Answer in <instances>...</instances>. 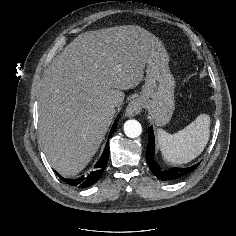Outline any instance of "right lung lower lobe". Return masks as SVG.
Instances as JSON below:
<instances>
[{
	"mask_svg": "<svg viewBox=\"0 0 236 236\" xmlns=\"http://www.w3.org/2000/svg\"><path fill=\"white\" fill-rule=\"evenodd\" d=\"M117 123H114L109 137L110 138L111 134L113 133L114 129L116 128ZM108 157H109V146H108V141L107 144L105 146V149L99 159V161L97 162V164L94 166V171H92L90 174H88L87 176H81L79 178L76 179H67V178H63L62 176H60V174H58L56 172V174L67 184L72 185L74 187H78V188H85V187H89L91 185H93L94 183L97 182V180L100 178V176L102 175L106 164L108 162Z\"/></svg>",
	"mask_w": 236,
	"mask_h": 236,
	"instance_id": "obj_1",
	"label": "right lung lower lobe"
}]
</instances>
